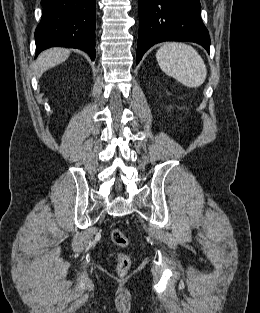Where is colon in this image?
Here are the masks:
<instances>
[{
  "instance_id": "5ec220e1",
  "label": "colon",
  "mask_w": 260,
  "mask_h": 313,
  "mask_svg": "<svg viewBox=\"0 0 260 313\" xmlns=\"http://www.w3.org/2000/svg\"><path fill=\"white\" fill-rule=\"evenodd\" d=\"M111 238L112 241L120 247H126L128 245V238L120 229H114L111 233ZM130 267V257L125 253H118L116 256V271L118 275L125 276Z\"/></svg>"
}]
</instances>
